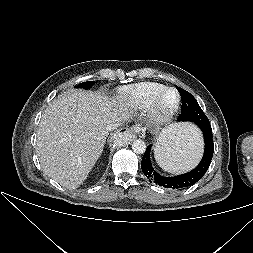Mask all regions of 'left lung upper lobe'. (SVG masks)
<instances>
[{"mask_svg":"<svg viewBox=\"0 0 253 253\" xmlns=\"http://www.w3.org/2000/svg\"><path fill=\"white\" fill-rule=\"evenodd\" d=\"M182 99L181 114L178 117L179 121H193L195 122L197 118L206 116L202 109L200 108L196 99L186 90L177 87Z\"/></svg>","mask_w":253,"mask_h":253,"instance_id":"1","label":"left lung upper lobe"}]
</instances>
